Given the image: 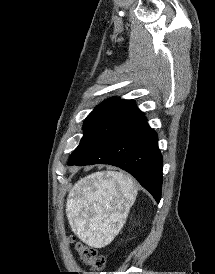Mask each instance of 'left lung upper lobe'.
<instances>
[{
  "label": "left lung upper lobe",
  "instance_id": "obj_1",
  "mask_svg": "<svg viewBox=\"0 0 215 274\" xmlns=\"http://www.w3.org/2000/svg\"><path fill=\"white\" fill-rule=\"evenodd\" d=\"M140 113L132 100L114 98L97 106L85 119L83 137L69 162H78L94 150L121 124Z\"/></svg>",
  "mask_w": 215,
  "mask_h": 274
}]
</instances>
